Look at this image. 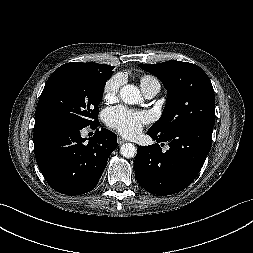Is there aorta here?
<instances>
[{"label":"aorta","mask_w":253,"mask_h":253,"mask_svg":"<svg viewBox=\"0 0 253 253\" xmlns=\"http://www.w3.org/2000/svg\"><path fill=\"white\" fill-rule=\"evenodd\" d=\"M120 99L129 105L138 104L142 101L140 90L132 84L125 85L120 89ZM120 153L125 158H133L137 149L132 143H125L120 147Z\"/></svg>","instance_id":"aorta-1"}]
</instances>
